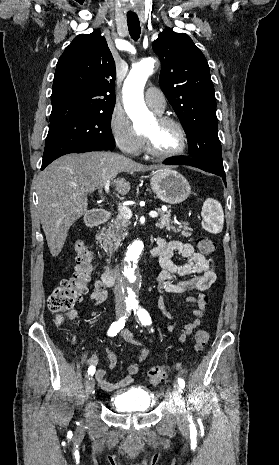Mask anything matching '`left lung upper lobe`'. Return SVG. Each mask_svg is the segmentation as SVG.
I'll list each match as a JSON object with an SVG mask.
<instances>
[{"mask_svg": "<svg viewBox=\"0 0 279 465\" xmlns=\"http://www.w3.org/2000/svg\"><path fill=\"white\" fill-rule=\"evenodd\" d=\"M152 47L162 63L160 87L187 134L189 158L225 173L214 86L203 53L187 34L170 28L159 34Z\"/></svg>", "mask_w": 279, "mask_h": 465, "instance_id": "obj_1", "label": "left lung upper lobe"}]
</instances>
